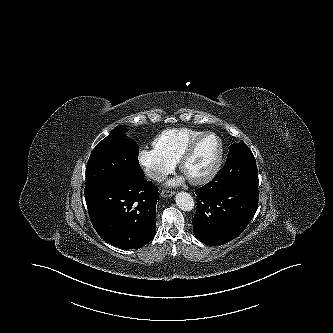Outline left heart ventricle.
I'll use <instances>...</instances> for the list:
<instances>
[{"instance_id": "left-heart-ventricle-1", "label": "left heart ventricle", "mask_w": 333, "mask_h": 333, "mask_svg": "<svg viewBox=\"0 0 333 333\" xmlns=\"http://www.w3.org/2000/svg\"><path fill=\"white\" fill-rule=\"evenodd\" d=\"M218 153V141L214 137H208L197 147L194 154L184 167V174L188 178L200 176L214 162Z\"/></svg>"}]
</instances>
